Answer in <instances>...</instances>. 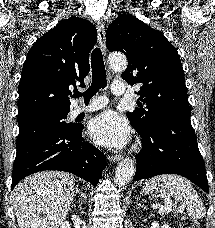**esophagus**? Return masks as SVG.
Returning a JSON list of instances; mask_svg holds the SVG:
<instances>
[{"mask_svg":"<svg viewBox=\"0 0 215 228\" xmlns=\"http://www.w3.org/2000/svg\"><path fill=\"white\" fill-rule=\"evenodd\" d=\"M97 32H98V41H99L102 53L105 56L107 53V49H106L105 25L103 22L98 23ZM121 158H122L121 155H116L114 157H111L110 161L117 162L121 160Z\"/></svg>","mask_w":215,"mask_h":228,"instance_id":"34e87169","label":"esophagus"}]
</instances>
